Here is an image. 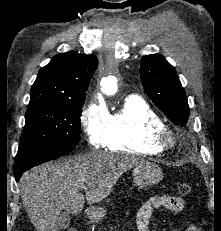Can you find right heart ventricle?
I'll list each match as a JSON object with an SVG mask.
<instances>
[{"mask_svg": "<svg viewBox=\"0 0 221 231\" xmlns=\"http://www.w3.org/2000/svg\"><path fill=\"white\" fill-rule=\"evenodd\" d=\"M164 126L161 117L138 96H129L109 116L104 146L112 151L157 155L163 149L153 145L156 129Z\"/></svg>", "mask_w": 221, "mask_h": 231, "instance_id": "1", "label": "right heart ventricle"}]
</instances>
